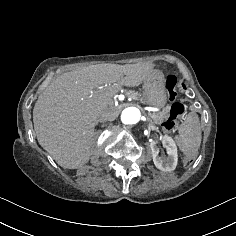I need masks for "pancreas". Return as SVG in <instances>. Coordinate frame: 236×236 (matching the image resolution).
Listing matches in <instances>:
<instances>
[{
    "label": "pancreas",
    "mask_w": 236,
    "mask_h": 236,
    "mask_svg": "<svg viewBox=\"0 0 236 236\" xmlns=\"http://www.w3.org/2000/svg\"><path fill=\"white\" fill-rule=\"evenodd\" d=\"M126 95L130 98H137L138 94L137 93H133L132 91L130 92H126ZM152 119L154 122H159V121H163L164 120V115L163 112H159V113H154L152 114Z\"/></svg>",
    "instance_id": "1"
}]
</instances>
